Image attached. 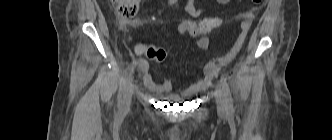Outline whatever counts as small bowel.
I'll list each match as a JSON object with an SVG mask.
<instances>
[{"mask_svg": "<svg viewBox=\"0 0 332 140\" xmlns=\"http://www.w3.org/2000/svg\"><path fill=\"white\" fill-rule=\"evenodd\" d=\"M219 4L225 5L230 2V0H216ZM186 11L193 18H198L204 14L206 8H196L194 6V0H187ZM254 19L253 12H246L242 14V22L240 24V31L227 52L217 58L210 60L203 68V74L198 78L196 82L185 88L181 95L173 94V82L171 80H165L162 84H159L153 80V74L150 71L149 62L146 59H139L138 66L143 74V82L147 89L159 95L163 100L170 102H178L182 98L190 97L204 90L220 71V69L230 61H232L238 54L242 45L248 35ZM198 47L202 50H207L209 48V38L207 36H201L197 42Z\"/></svg>", "mask_w": 332, "mask_h": 140, "instance_id": "small-bowel-1", "label": "small bowel"}]
</instances>
